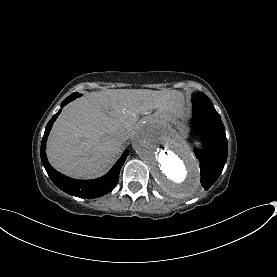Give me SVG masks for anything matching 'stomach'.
<instances>
[{"instance_id": "1", "label": "stomach", "mask_w": 277, "mask_h": 277, "mask_svg": "<svg viewBox=\"0 0 277 277\" xmlns=\"http://www.w3.org/2000/svg\"><path fill=\"white\" fill-rule=\"evenodd\" d=\"M156 117L163 121H171L177 126L184 128L188 112L184 108L183 102H181V105L175 111H158Z\"/></svg>"}]
</instances>
